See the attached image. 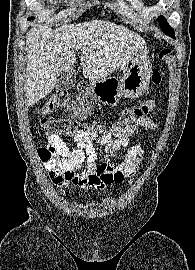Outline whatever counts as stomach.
Listing matches in <instances>:
<instances>
[{"label": "stomach", "mask_w": 195, "mask_h": 270, "mask_svg": "<svg viewBox=\"0 0 195 270\" xmlns=\"http://www.w3.org/2000/svg\"><path fill=\"white\" fill-rule=\"evenodd\" d=\"M147 47L128 61L120 79L115 77L90 82V90L101 103L116 106L121 97L136 99L147 89L150 83L152 67L147 56Z\"/></svg>", "instance_id": "0dacf381"}]
</instances>
